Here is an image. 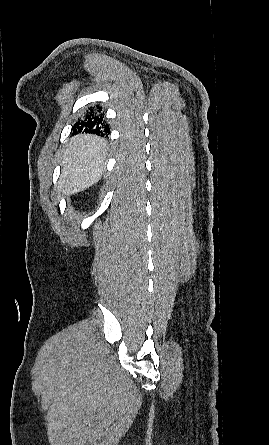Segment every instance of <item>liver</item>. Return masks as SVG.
Returning <instances> with one entry per match:
<instances>
[{
	"label": "liver",
	"mask_w": 269,
	"mask_h": 445,
	"mask_svg": "<svg viewBox=\"0 0 269 445\" xmlns=\"http://www.w3.org/2000/svg\"><path fill=\"white\" fill-rule=\"evenodd\" d=\"M105 151L104 140L97 136L73 137L64 153L58 190L71 195L95 184L102 177L105 168Z\"/></svg>",
	"instance_id": "obj_1"
}]
</instances>
